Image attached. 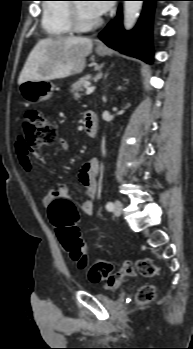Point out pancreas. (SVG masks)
Returning a JSON list of instances; mask_svg holds the SVG:
<instances>
[{
  "label": "pancreas",
  "instance_id": "1",
  "mask_svg": "<svg viewBox=\"0 0 193 349\" xmlns=\"http://www.w3.org/2000/svg\"><path fill=\"white\" fill-rule=\"evenodd\" d=\"M91 75H86L84 77H81L78 81L72 84L70 92L72 93L73 97L75 99H78L80 97V91H83V89L90 83Z\"/></svg>",
  "mask_w": 193,
  "mask_h": 349
}]
</instances>
